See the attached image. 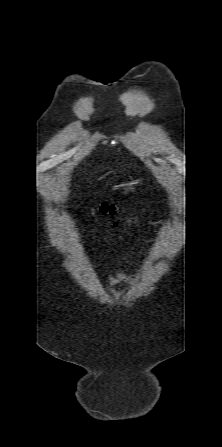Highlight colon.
<instances>
[{
  "label": "colon",
  "instance_id": "5ec220e1",
  "mask_svg": "<svg viewBox=\"0 0 222 447\" xmlns=\"http://www.w3.org/2000/svg\"><path fill=\"white\" fill-rule=\"evenodd\" d=\"M100 212L110 218H113V224L117 225L121 222V219L117 218L118 209L113 204L104 203L100 206Z\"/></svg>",
  "mask_w": 222,
  "mask_h": 447
}]
</instances>
